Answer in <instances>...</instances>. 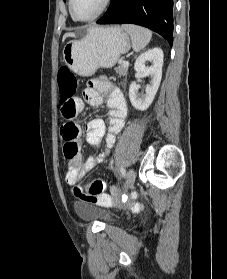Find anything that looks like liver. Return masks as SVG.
Listing matches in <instances>:
<instances>
[{
  "instance_id": "obj_1",
  "label": "liver",
  "mask_w": 227,
  "mask_h": 279,
  "mask_svg": "<svg viewBox=\"0 0 227 279\" xmlns=\"http://www.w3.org/2000/svg\"><path fill=\"white\" fill-rule=\"evenodd\" d=\"M72 36H73V33H65L64 36H63L62 41H65V39H66L67 37H72Z\"/></svg>"
}]
</instances>
